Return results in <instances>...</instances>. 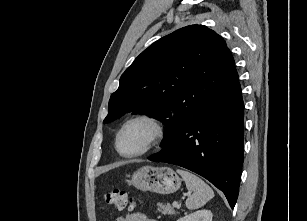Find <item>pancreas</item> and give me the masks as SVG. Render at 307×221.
Returning a JSON list of instances; mask_svg holds the SVG:
<instances>
[{
    "label": "pancreas",
    "mask_w": 307,
    "mask_h": 221,
    "mask_svg": "<svg viewBox=\"0 0 307 221\" xmlns=\"http://www.w3.org/2000/svg\"><path fill=\"white\" fill-rule=\"evenodd\" d=\"M157 206H158V211L161 212L162 214H168V215L177 214V212L170 204L158 203Z\"/></svg>",
    "instance_id": "cf45deb5"
}]
</instances>
